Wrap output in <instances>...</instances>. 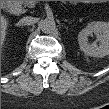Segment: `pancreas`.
Here are the masks:
<instances>
[{
	"label": "pancreas",
	"mask_w": 109,
	"mask_h": 109,
	"mask_svg": "<svg viewBox=\"0 0 109 109\" xmlns=\"http://www.w3.org/2000/svg\"><path fill=\"white\" fill-rule=\"evenodd\" d=\"M22 4H23L25 7H32V6H33V3H31L30 1H22Z\"/></svg>",
	"instance_id": "obj_1"
}]
</instances>
